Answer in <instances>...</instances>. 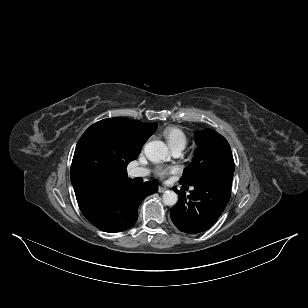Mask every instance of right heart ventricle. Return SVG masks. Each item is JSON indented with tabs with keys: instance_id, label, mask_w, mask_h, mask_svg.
<instances>
[{
	"instance_id": "1",
	"label": "right heart ventricle",
	"mask_w": 308,
	"mask_h": 308,
	"mask_svg": "<svg viewBox=\"0 0 308 308\" xmlns=\"http://www.w3.org/2000/svg\"><path fill=\"white\" fill-rule=\"evenodd\" d=\"M163 136L170 148L181 147L184 148L188 142L186 133L178 127H167L163 131Z\"/></svg>"
}]
</instances>
